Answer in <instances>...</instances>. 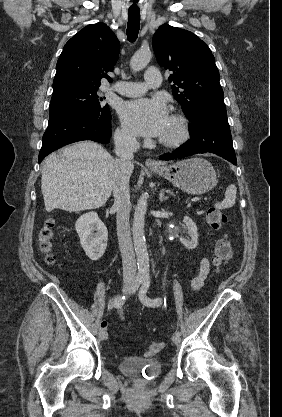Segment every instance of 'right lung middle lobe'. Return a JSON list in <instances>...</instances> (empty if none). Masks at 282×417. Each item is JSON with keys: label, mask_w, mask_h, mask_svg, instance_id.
I'll return each mask as SVG.
<instances>
[{"label": "right lung middle lobe", "mask_w": 282, "mask_h": 417, "mask_svg": "<svg viewBox=\"0 0 282 417\" xmlns=\"http://www.w3.org/2000/svg\"><path fill=\"white\" fill-rule=\"evenodd\" d=\"M98 88H79L60 91L52 94L49 107V118L71 110L110 113L108 104L101 103L103 98L97 96Z\"/></svg>", "instance_id": "dd1d6c3e"}]
</instances>
